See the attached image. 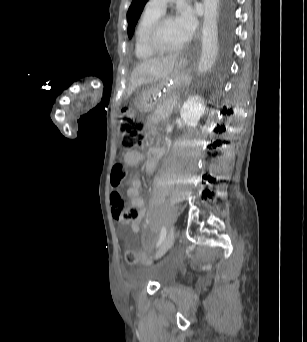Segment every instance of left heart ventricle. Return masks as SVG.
Returning a JSON list of instances; mask_svg holds the SVG:
<instances>
[{
  "instance_id": "left-heart-ventricle-1",
  "label": "left heart ventricle",
  "mask_w": 307,
  "mask_h": 342,
  "mask_svg": "<svg viewBox=\"0 0 307 342\" xmlns=\"http://www.w3.org/2000/svg\"><path fill=\"white\" fill-rule=\"evenodd\" d=\"M160 45L167 50H177L185 46V42L182 39L175 20L166 22L159 34Z\"/></svg>"
}]
</instances>
